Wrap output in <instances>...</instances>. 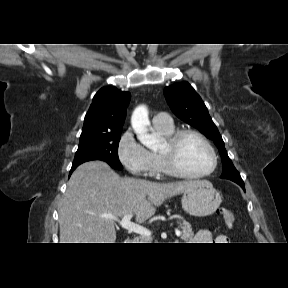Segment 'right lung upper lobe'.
<instances>
[{
  "mask_svg": "<svg viewBox=\"0 0 288 288\" xmlns=\"http://www.w3.org/2000/svg\"><path fill=\"white\" fill-rule=\"evenodd\" d=\"M130 93L115 87L101 88L85 116L80 140L121 132Z\"/></svg>",
  "mask_w": 288,
  "mask_h": 288,
  "instance_id": "cb5924a9",
  "label": "right lung upper lobe"
}]
</instances>
